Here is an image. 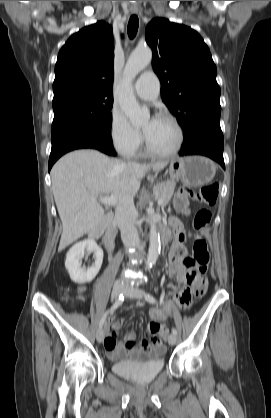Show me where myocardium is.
Returning a JSON list of instances; mask_svg holds the SVG:
<instances>
[{
	"label": "myocardium",
	"mask_w": 271,
	"mask_h": 418,
	"mask_svg": "<svg viewBox=\"0 0 271 418\" xmlns=\"http://www.w3.org/2000/svg\"><path fill=\"white\" fill-rule=\"evenodd\" d=\"M158 117L159 118H164V119L170 121L173 124V126L175 127V129L177 131V142L171 150H168V151H165V152H160V151L154 150L151 147L146 135L144 134L145 150L150 156H153V157H157V158L171 157V156L175 155L180 150V148L182 147V144H183V141H184V131H183V128L180 125L179 121L173 115H171L169 113H161V114L158 115Z\"/></svg>",
	"instance_id": "1"
}]
</instances>
